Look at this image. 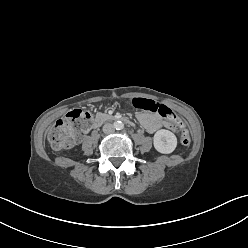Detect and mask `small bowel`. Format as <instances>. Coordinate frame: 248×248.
<instances>
[{
    "instance_id": "obj_1",
    "label": "small bowel",
    "mask_w": 248,
    "mask_h": 248,
    "mask_svg": "<svg viewBox=\"0 0 248 248\" xmlns=\"http://www.w3.org/2000/svg\"><path fill=\"white\" fill-rule=\"evenodd\" d=\"M136 116L141 125L149 133H154L162 127L175 131L178 127L172 121L163 120L157 113L139 112Z\"/></svg>"
}]
</instances>
